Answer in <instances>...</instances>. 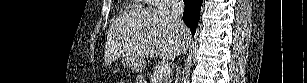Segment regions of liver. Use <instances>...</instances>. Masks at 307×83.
I'll return each instance as SVG.
<instances>
[{
    "mask_svg": "<svg viewBox=\"0 0 307 83\" xmlns=\"http://www.w3.org/2000/svg\"><path fill=\"white\" fill-rule=\"evenodd\" d=\"M191 42L189 28H182L171 11L135 10L113 21L108 29L104 62L110 65L121 56L145 64V58L160 56L173 60L185 51Z\"/></svg>",
    "mask_w": 307,
    "mask_h": 83,
    "instance_id": "1",
    "label": "liver"
}]
</instances>
